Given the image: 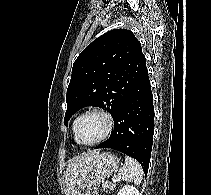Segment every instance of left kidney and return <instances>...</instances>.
Wrapping results in <instances>:
<instances>
[{
  "instance_id": "1",
  "label": "left kidney",
  "mask_w": 211,
  "mask_h": 195,
  "mask_svg": "<svg viewBox=\"0 0 211 195\" xmlns=\"http://www.w3.org/2000/svg\"><path fill=\"white\" fill-rule=\"evenodd\" d=\"M117 195H141L139 191L130 185H125L123 188L118 192Z\"/></svg>"
}]
</instances>
